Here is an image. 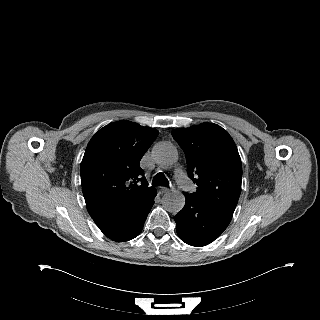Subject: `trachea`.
I'll return each mask as SVG.
<instances>
[{
    "label": "trachea",
    "mask_w": 320,
    "mask_h": 320,
    "mask_svg": "<svg viewBox=\"0 0 320 320\" xmlns=\"http://www.w3.org/2000/svg\"><path fill=\"white\" fill-rule=\"evenodd\" d=\"M153 186H168L169 181L163 173H158L153 177L152 180Z\"/></svg>",
    "instance_id": "trachea-1"
}]
</instances>
